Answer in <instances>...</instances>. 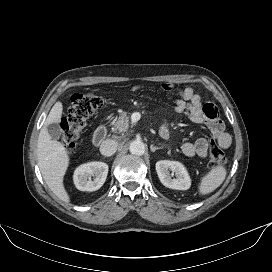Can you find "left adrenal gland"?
<instances>
[{
  "label": "left adrenal gland",
  "instance_id": "1",
  "mask_svg": "<svg viewBox=\"0 0 272 272\" xmlns=\"http://www.w3.org/2000/svg\"><path fill=\"white\" fill-rule=\"evenodd\" d=\"M163 147H156V146H154V145H151L150 146V149H151V151L152 152H155L156 150H160V149H162Z\"/></svg>",
  "mask_w": 272,
  "mask_h": 272
}]
</instances>
